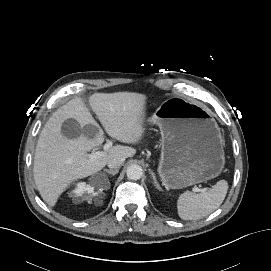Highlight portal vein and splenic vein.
<instances>
[{
	"instance_id": "obj_1",
	"label": "portal vein and splenic vein",
	"mask_w": 271,
	"mask_h": 271,
	"mask_svg": "<svg viewBox=\"0 0 271 271\" xmlns=\"http://www.w3.org/2000/svg\"><path fill=\"white\" fill-rule=\"evenodd\" d=\"M112 145H113L112 141L109 140V141L104 145V152H100V151L93 152V153H91V154H88V157L90 158L91 161H93V160L96 159V158L102 157V156L105 154V152H106L107 150H109V149L112 147ZM193 191H194V192H202V193H205V192L207 191V189H206V188L200 189V188L194 186V187H193Z\"/></svg>"
}]
</instances>
